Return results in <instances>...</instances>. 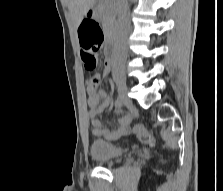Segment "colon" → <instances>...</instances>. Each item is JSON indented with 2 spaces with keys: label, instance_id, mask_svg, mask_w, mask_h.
Listing matches in <instances>:
<instances>
[{
  "label": "colon",
  "instance_id": "obj_1",
  "mask_svg": "<svg viewBox=\"0 0 223 191\" xmlns=\"http://www.w3.org/2000/svg\"><path fill=\"white\" fill-rule=\"evenodd\" d=\"M80 43L82 46L81 59L85 68L89 71L96 69L98 65V50L103 42V33L99 28H91L84 25L79 32ZM99 76L97 73H93L89 79L88 84L94 88L99 84ZM137 137L145 144L154 146L156 143L155 138L145 129L136 125L133 129Z\"/></svg>",
  "mask_w": 223,
  "mask_h": 191
}]
</instances>
